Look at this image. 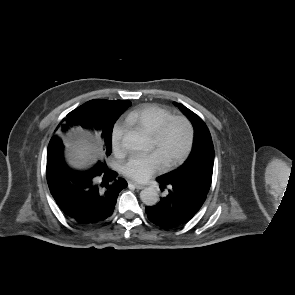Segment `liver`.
Wrapping results in <instances>:
<instances>
[{"instance_id": "liver-1", "label": "liver", "mask_w": 295, "mask_h": 295, "mask_svg": "<svg viewBox=\"0 0 295 295\" xmlns=\"http://www.w3.org/2000/svg\"><path fill=\"white\" fill-rule=\"evenodd\" d=\"M92 159L91 148L89 146H83L77 148L72 156V163L75 166H84Z\"/></svg>"}]
</instances>
